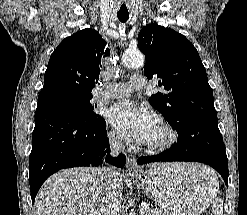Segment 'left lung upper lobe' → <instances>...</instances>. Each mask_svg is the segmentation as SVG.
<instances>
[{
    "label": "left lung upper lobe",
    "mask_w": 247,
    "mask_h": 215,
    "mask_svg": "<svg viewBox=\"0 0 247 215\" xmlns=\"http://www.w3.org/2000/svg\"><path fill=\"white\" fill-rule=\"evenodd\" d=\"M147 78L157 76L165 92L151 95L149 103L177 133L197 124H218L213 91L201 58L187 38L157 24L146 25L138 35Z\"/></svg>",
    "instance_id": "5c2ea615"
}]
</instances>
